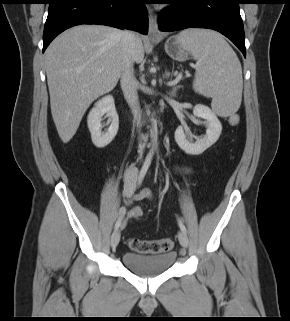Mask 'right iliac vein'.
<instances>
[{"label": "right iliac vein", "mask_w": 290, "mask_h": 321, "mask_svg": "<svg viewBox=\"0 0 290 321\" xmlns=\"http://www.w3.org/2000/svg\"><path fill=\"white\" fill-rule=\"evenodd\" d=\"M120 230H116L114 231V233L112 234V237H111V247L112 248H116L117 245L119 244V241H120Z\"/></svg>", "instance_id": "obj_1"}]
</instances>
